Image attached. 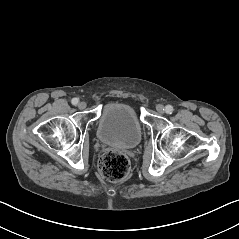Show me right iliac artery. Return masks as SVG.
<instances>
[{
	"label": "right iliac artery",
	"instance_id": "1",
	"mask_svg": "<svg viewBox=\"0 0 239 239\" xmlns=\"http://www.w3.org/2000/svg\"><path fill=\"white\" fill-rule=\"evenodd\" d=\"M71 102H72L73 105H77L78 102H79V99L78 98H73Z\"/></svg>",
	"mask_w": 239,
	"mask_h": 239
}]
</instances>
